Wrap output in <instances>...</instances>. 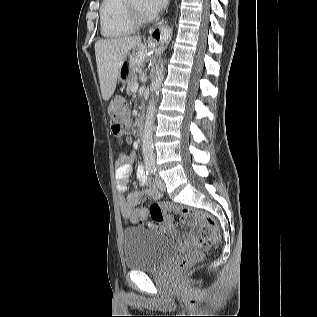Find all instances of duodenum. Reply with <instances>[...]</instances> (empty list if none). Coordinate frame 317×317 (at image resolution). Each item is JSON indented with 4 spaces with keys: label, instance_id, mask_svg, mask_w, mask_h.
<instances>
[{
    "label": "duodenum",
    "instance_id": "obj_1",
    "mask_svg": "<svg viewBox=\"0 0 317 317\" xmlns=\"http://www.w3.org/2000/svg\"><path fill=\"white\" fill-rule=\"evenodd\" d=\"M138 137L139 138H144L145 137V132L142 131L140 127H139Z\"/></svg>",
    "mask_w": 317,
    "mask_h": 317
}]
</instances>
